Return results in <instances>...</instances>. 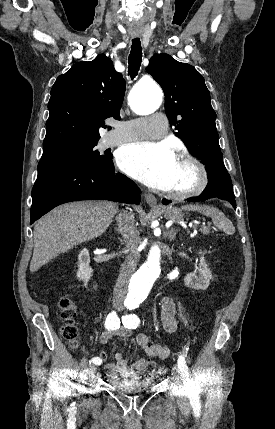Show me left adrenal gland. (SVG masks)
Returning a JSON list of instances; mask_svg holds the SVG:
<instances>
[{
  "label": "left adrenal gland",
  "instance_id": "a2214340",
  "mask_svg": "<svg viewBox=\"0 0 275 429\" xmlns=\"http://www.w3.org/2000/svg\"><path fill=\"white\" fill-rule=\"evenodd\" d=\"M177 232H178V230H175V229L167 230L166 234L168 236V239L170 241H173L176 238Z\"/></svg>",
  "mask_w": 275,
  "mask_h": 429
}]
</instances>
